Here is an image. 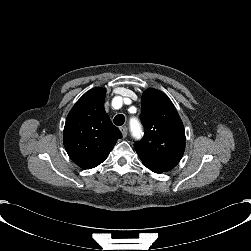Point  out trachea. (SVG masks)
Returning <instances> with one entry per match:
<instances>
[{
	"mask_svg": "<svg viewBox=\"0 0 251 251\" xmlns=\"http://www.w3.org/2000/svg\"><path fill=\"white\" fill-rule=\"evenodd\" d=\"M125 122V117L124 115H117L114 118V124L117 126H122Z\"/></svg>",
	"mask_w": 251,
	"mask_h": 251,
	"instance_id": "obj_1",
	"label": "trachea"
}]
</instances>
